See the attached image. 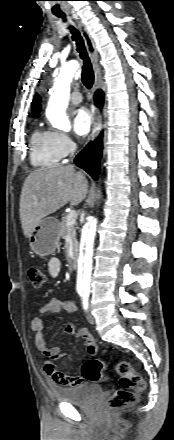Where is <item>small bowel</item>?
Returning a JSON list of instances; mask_svg holds the SVG:
<instances>
[{
	"instance_id": "obj_1",
	"label": "small bowel",
	"mask_w": 174,
	"mask_h": 440,
	"mask_svg": "<svg viewBox=\"0 0 174 440\" xmlns=\"http://www.w3.org/2000/svg\"><path fill=\"white\" fill-rule=\"evenodd\" d=\"M61 271V262L57 258H51L48 261V275L52 278L56 277ZM75 311V305L71 300L52 298L49 302L38 307L37 311L40 314L59 313L62 309ZM32 329L35 333L36 347L46 356L53 359H62L65 353L59 347H49L44 337L45 325L40 317H34L32 320ZM65 334L70 336L75 334L77 337L84 340L86 353L89 357L96 355L98 352V345L95 338L87 328H80L76 330L74 324H68L64 330ZM45 372L57 384L72 387L82 383L80 377H72L61 372L51 361L45 362Z\"/></svg>"
}]
</instances>
